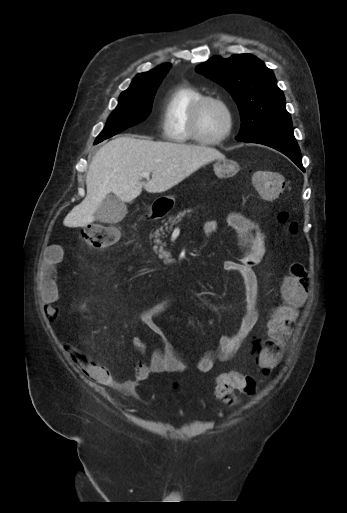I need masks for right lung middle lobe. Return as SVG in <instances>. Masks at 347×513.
I'll return each instance as SVG.
<instances>
[{"instance_id":"right-lung-middle-lobe-1","label":"right lung middle lobe","mask_w":347,"mask_h":513,"mask_svg":"<svg viewBox=\"0 0 347 513\" xmlns=\"http://www.w3.org/2000/svg\"><path fill=\"white\" fill-rule=\"evenodd\" d=\"M160 83L161 81L149 83L121 93L118 106L110 115L105 128L94 144L145 120L151 112L152 102Z\"/></svg>"}]
</instances>
